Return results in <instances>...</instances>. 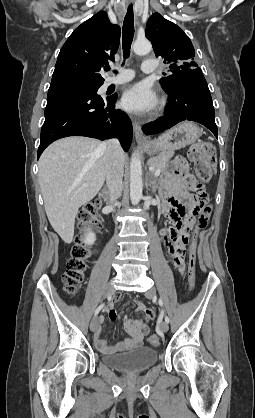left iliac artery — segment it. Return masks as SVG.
I'll list each match as a JSON object with an SVG mask.
<instances>
[{
  "instance_id": "left-iliac-artery-1",
  "label": "left iliac artery",
  "mask_w": 255,
  "mask_h": 418,
  "mask_svg": "<svg viewBox=\"0 0 255 418\" xmlns=\"http://www.w3.org/2000/svg\"><path fill=\"white\" fill-rule=\"evenodd\" d=\"M159 304L162 306L163 305V303H162V300L160 299L159 300ZM169 317L168 316H165V322H167V323H169Z\"/></svg>"
}]
</instances>
